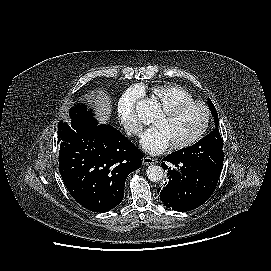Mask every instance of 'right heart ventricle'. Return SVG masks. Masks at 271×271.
Instances as JSON below:
<instances>
[{"instance_id":"e07e8e85","label":"right heart ventricle","mask_w":271,"mask_h":271,"mask_svg":"<svg viewBox=\"0 0 271 271\" xmlns=\"http://www.w3.org/2000/svg\"><path fill=\"white\" fill-rule=\"evenodd\" d=\"M145 89V88H141ZM150 99L156 102L159 108L175 103L192 101V95L177 85H159L149 89Z\"/></svg>"}]
</instances>
